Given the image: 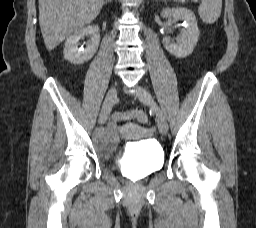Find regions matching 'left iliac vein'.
Returning a JSON list of instances; mask_svg holds the SVG:
<instances>
[{"label":"left iliac vein","instance_id":"left-iliac-vein-1","mask_svg":"<svg viewBox=\"0 0 256 228\" xmlns=\"http://www.w3.org/2000/svg\"><path fill=\"white\" fill-rule=\"evenodd\" d=\"M136 90H137L136 95H137L138 99L142 103L152 107V109L155 111L159 132L163 135H166L168 132V124H167V120H166V117H165L163 111L157 106L152 95L150 94V92L148 90H146L145 88H143L139 85L136 87Z\"/></svg>","mask_w":256,"mask_h":228}]
</instances>
